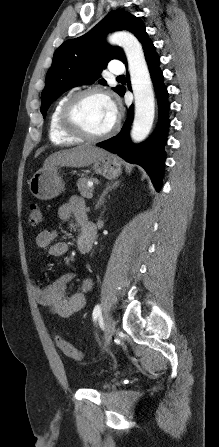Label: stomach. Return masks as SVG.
Returning <instances> with one entry per match:
<instances>
[{
  "mask_svg": "<svg viewBox=\"0 0 219 447\" xmlns=\"http://www.w3.org/2000/svg\"><path fill=\"white\" fill-rule=\"evenodd\" d=\"M95 173L113 180L121 172L119 159L108 152L98 156L91 165ZM29 190L32 195L41 200H50L60 195L65 189V182L60 174L59 166L38 170L29 180Z\"/></svg>",
  "mask_w": 219,
  "mask_h": 447,
  "instance_id": "obj_1",
  "label": "stomach"
}]
</instances>
